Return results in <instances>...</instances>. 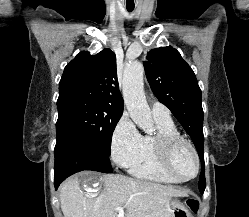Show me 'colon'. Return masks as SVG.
<instances>
[{"instance_id":"5ec220e1","label":"colon","mask_w":249,"mask_h":217,"mask_svg":"<svg viewBox=\"0 0 249 217\" xmlns=\"http://www.w3.org/2000/svg\"><path fill=\"white\" fill-rule=\"evenodd\" d=\"M185 205L192 212H197L199 210V200L195 196L188 197L185 200Z\"/></svg>"}]
</instances>
